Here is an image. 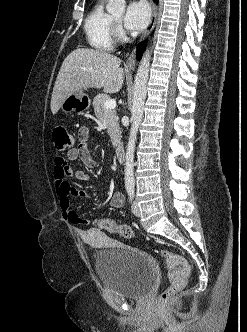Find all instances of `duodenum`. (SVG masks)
Segmentation results:
<instances>
[{"label":"duodenum","instance_id":"410a0bca","mask_svg":"<svg viewBox=\"0 0 247 332\" xmlns=\"http://www.w3.org/2000/svg\"><path fill=\"white\" fill-rule=\"evenodd\" d=\"M115 155L117 157V159L119 161H123L124 158H125V150H124V147L121 146V145H118L116 148H115Z\"/></svg>","mask_w":247,"mask_h":332}]
</instances>
